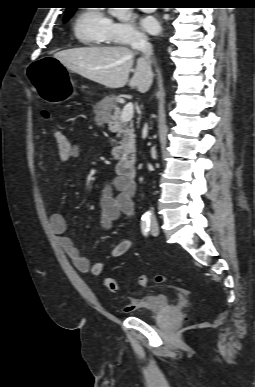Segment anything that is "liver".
Returning a JSON list of instances; mask_svg holds the SVG:
<instances>
[{"instance_id": "6515ba94", "label": "liver", "mask_w": 255, "mask_h": 387, "mask_svg": "<svg viewBox=\"0 0 255 387\" xmlns=\"http://www.w3.org/2000/svg\"><path fill=\"white\" fill-rule=\"evenodd\" d=\"M135 56V51L124 46L74 48L54 54L66 68L107 88L128 85L145 92L153 81V73L147 69L144 57L137 59L133 70Z\"/></svg>"}]
</instances>
